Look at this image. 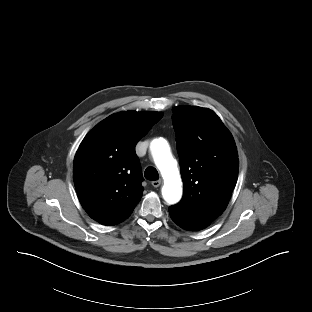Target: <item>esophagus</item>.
<instances>
[{
  "label": "esophagus",
  "mask_w": 312,
  "mask_h": 312,
  "mask_svg": "<svg viewBox=\"0 0 312 312\" xmlns=\"http://www.w3.org/2000/svg\"><path fill=\"white\" fill-rule=\"evenodd\" d=\"M162 181L161 180H155V181H152V186L157 188L161 185Z\"/></svg>",
  "instance_id": "1"
}]
</instances>
